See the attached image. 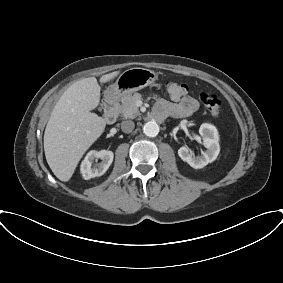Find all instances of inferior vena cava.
Returning <instances> with one entry per match:
<instances>
[{"label":"inferior vena cava","instance_id":"obj_1","mask_svg":"<svg viewBox=\"0 0 283 283\" xmlns=\"http://www.w3.org/2000/svg\"><path fill=\"white\" fill-rule=\"evenodd\" d=\"M135 124L131 120H125L121 122V129L125 133H130L133 131Z\"/></svg>","mask_w":283,"mask_h":283}]
</instances>
